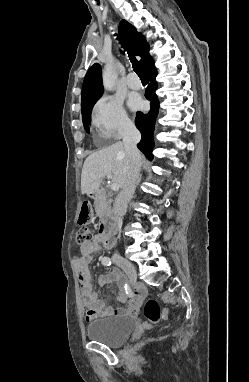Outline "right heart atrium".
Returning <instances> with one entry per match:
<instances>
[{"instance_id": "1", "label": "right heart atrium", "mask_w": 249, "mask_h": 382, "mask_svg": "<svg viewBox=\"0 0 249 382\" xmlns=\"http://www.w3.org/2000/svg\"><path fill=\"white\" fill-rule=\"evenodd\" d=\"M92 122L101 136L118 139L133 126L121 100L103 96L95 104Z\"/></svg>"}]
</instances>
